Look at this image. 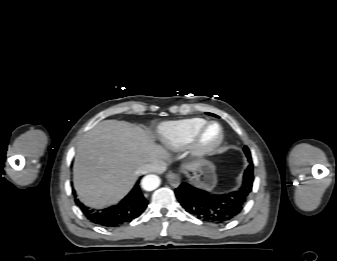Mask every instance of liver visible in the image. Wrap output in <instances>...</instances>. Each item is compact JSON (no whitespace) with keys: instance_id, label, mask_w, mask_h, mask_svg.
<instances>
[{"instance_id":"liver-1","label":"liver","mask_w":337,"mask_h":261,"mask_svg":"<svg viewBox=\"0 0 337 261\" xmlns=\"http://www.w3.org/2000/svg\"><path fill=\"white\" fill-rule=\"evenodd\" d=\"M167 158L143 129L124 121L105 120L79 141L73 166L74 187L88 206L116 203L133 187L140 169ZM196 163L185 168L193 171Z\"/></svg>"}]
</instances>
